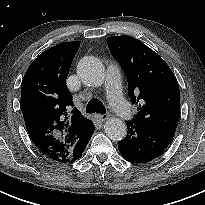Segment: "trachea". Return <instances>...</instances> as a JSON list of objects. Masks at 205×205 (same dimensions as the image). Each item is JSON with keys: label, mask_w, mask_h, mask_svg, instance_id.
<instances>
[{"label": "trachea", "mask_w": 205, "mask_h": 205, "mask_svg": "<svg viewBox=\"0 0 205 205\" xmlns=\"http://www.w3.org/2000/svg\"><path fill=\"white\" fill-rule=\"evenodd\" d=\"M86 111L88 113L98 112L101 114H105L106 108L101 101L97 100L96 98H93L88 102L86 106Z\"/></svg>", "instance_id": "3493384b"}]
</instances>
